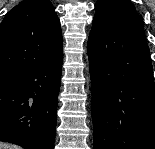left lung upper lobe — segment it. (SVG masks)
<instances>
[{"mask_svg": "<svg viewBox=\"0 0 155 149\" xmlns=\"http://www.w3.org/2000/svg\"><path fill=\"white\" fill-rule=\"evenodd\" d=\"M95 8L97 12L93 20V27H109L131 19L143 21L129 0H99L95 4Z\"/></svg>", "mask_w": 155, "mask_h": 149, "instance_id": "left-lung-upper-lobe-1", "label": "left lung upper lobe"}]
</instances>
